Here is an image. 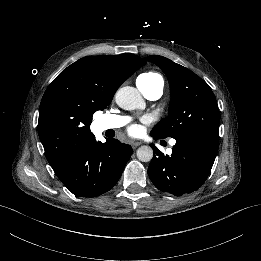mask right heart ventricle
Wrapping results in <instances>:
<instances>
[{
	"label": "right heart ventricle",
	"instance_id": "1",
	"mask_svg": "<svg viewBox=\"0 0 261 261\" xmlns=\"http://www.w3.org/2000/svg\"><path fill=\"white\" fill-rule=\"evenodd\" d=\"M137 81L140 83L141 89L142 88H151V87H155V86L164 87L163 77L155 71H148V72L142 73L138 77ZM141 89H139L140 92H141Z\"/></svg>",
	"mask_w": 261,
	"mask_h": 261
}]
</instances>
